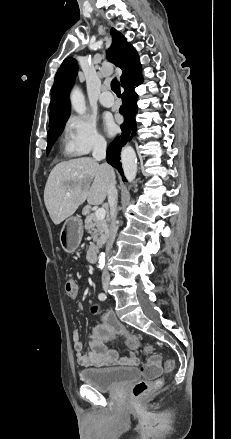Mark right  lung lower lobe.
<instances>
[{
	"label": "right lung lower lobe",
	"mask_w": 231,
	"mask_h": 439,
	"mask_svg": "<svg viewBox=\"0 0 231 439\" xmlns=\"http://www.w3.org/2000/svg\"><path fill=\"white\" fill-rule=\"evenodd\" d=\"M142 83V78L132 81L128 85L124 86V92L122 94V103L120 107V113L124 116V123L121 125L122 135L117 137L108 147L106 160L107 162L116 168L123 176V170L120 162V151L122 146L131 140V136L136 133V121L135 114L137 113V95L134 91L135 87ZM125 181V177H123Z\"/></svg>",
	"instance_id": "1"
}]
</instances>
